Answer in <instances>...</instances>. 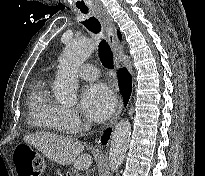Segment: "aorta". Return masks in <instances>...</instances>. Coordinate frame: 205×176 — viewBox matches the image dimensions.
<instances>
[{"instance_id": "obj_1", "label": "aorta", "mask_w": 205, "mask_h": 176, "mask_svg": "<svg viewBox=\"0 0 205 176\" xmlns=\"http://www.w3.org/2000/svg\"><path fill=\"white\" fill-rule=\"evenodd\" d=\"M95 45L89 39H76L68 43L59 60L54 82V92L58 100L74 103L77 98L78 70L94 51ZM131 135L128 119L119 121L112 133L109 150V167L118 170L124 161Z\"/></svg>"}]
</instances>
